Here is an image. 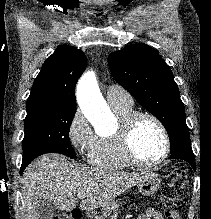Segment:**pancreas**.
<instances>
[{"label":"pancreas","mask_w":211,"mask_h":219,"mask_svg":"<svg viewBox=\"0 0 211 219\" xmlns=\"http://www.w3.org/2000/svg\"><path fill=\"white\" fill-rule=\"evenodd\" d=\"M118 212L120 211L115 210L114 213L108 219H117Z\"/></svg>","instance_id":"obj_1"}]
</instances>
